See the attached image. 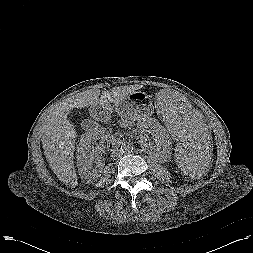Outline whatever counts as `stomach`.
<instances>
[{
    "instance_id": "1",
    "label": "stomach",
    "mask_w": 253,
    "mask_h": 253,
    "mask_svg": "<svg viewBox=\"0 0 253 253\" xmlns=\"http://www.w3.org/2000/svg\"><path fill=\"white\" fill-rule=\"evenodd\" d=\"M105 111L112 109L111 105H100ZM115 111L124 119L140 121L153 113L154 105L149 96L141 91L130 94L126 99L114 105Z\"/></svg>"
}]
</instances>
